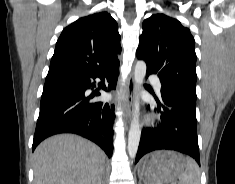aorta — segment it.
Here are the masks:
<instances>
[{"label":"aorta","instance_id":"obj_1","mask_svg":"<svg viewBox=\"0 0 235 184\" xmlns=\"http://www.w3.org/2000/svg\"><path fill=\"white\" fill-rule=\"evenodd\" d=\"M146 64L145 62H137L134 72V82L139 90L140 86L143 84V80L146 74ZM141 138V128L139 126V100H135L133 118L128 134V154L130 158H135Z\"/></svg>","mask_w":235,"mask_h":184}]
</instances>
